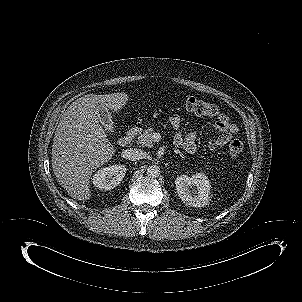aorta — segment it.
I'll list each match as a JSON object with an SVG mask.
<instances>
[{
  "label": "aorta",
  "instance_id": "aorta-1",
  "mask_svg": "<svg viewBox=\"0 0 302 302\" xmlns=\"http://www.w3.org/2000/svg\"><path fill=\"white\" fill-rule=\"evenodd\" d=\"M160 167L157 165H151L147 168V175L152 178H156L160 175Z\"/></svg>",
  "mask_w": 302,
  "mask_h": 302
}]
</instances>
